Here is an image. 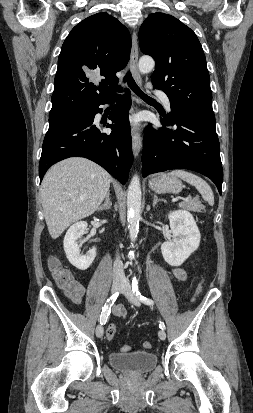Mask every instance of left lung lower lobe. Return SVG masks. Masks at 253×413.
Returning a JSON list of instances; mask_svg holds the SVG:
<instances>
[{
	"label": "left lung lower lobe",
	"instance_id": "obj_1",
	"mask_svg": "<svg viewBox=\"0 0 253 413\" xmlns=\"http://www.w3.org/2000/svg\"><path fill=\"white\" fill-rule=\"evenodd\" d=\"M161 122L167 127L157 129L149 124L146 128L142 175L189 169L209 177L221 194L223 170L215 122L190 114L173 115Z\"/></svg>",
	"mask_w": 253,
	"mask_h": 413
}]
</instances>
